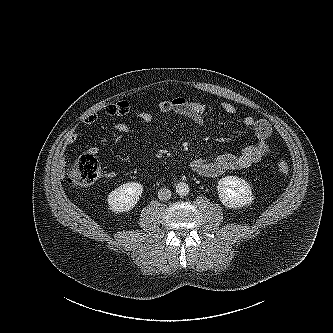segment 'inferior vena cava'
I'll list each match as a JSON object with an SVG mask.
<instances>
[{
    "mask_svg": "<svg viewBox=\"0 0 333 333\" xmlns=\"http://www.w3.org/2000/svg\"><path fill=\"white\" fill-rule=\"evenodd\" d=\"M158 198L161 201H167L171 198V191L167 188H162L158 191Z\"/></svg>",
    "mask_w": 333,
    "mask_h": 333,
    "instance_id": "inferior-vena-cava-1",
    "label": "inferior vena cava"
}]
</instances>
